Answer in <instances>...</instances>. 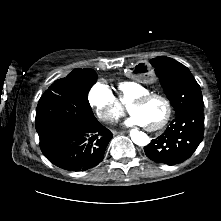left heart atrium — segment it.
I'll use <instances>...</instances> for the list:
<instances>
[{
  "mask_svg": "<svg viewBox=\"0 0 221 221\" xmlns=\"http://www.w3.org/2000/svg\"><path fill=\"white\" fill-rule=\"evenodd\" d=\"M128 125L145 126V122L138 115L132 114L126 121Z\"/></svg>",
  "mask_w": 221,
  "mask_h": 221,
  "instance_id": "39dd6f15",
  "label": "left heart atrium"
}]
</instances>
